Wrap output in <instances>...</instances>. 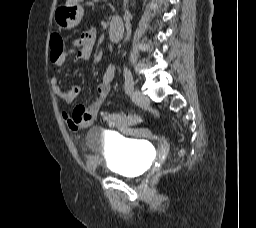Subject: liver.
Returning a JSON list of instances; mask_svg holds the SVG:
<instances>
[{
	"instance_id": "obj_1",
	"label": "liver",
	"mask_w": 256,
	"mask_h": 228,
	"mask_svg": "<svg viewBox=\"0 0 256 228\" xmlns=\"http://www.w3.org/2000/svg\"><path fill=\"white\" fill-rule=\"evenodd\" d=\"M82 1L83 0H67L66 5L70 6V5H74V4H77V3L82 2Z\"/></svg>"
}]
</instances>
